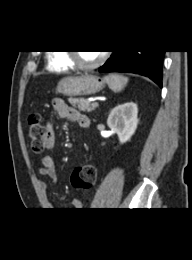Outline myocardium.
<instances>
[{"instance_id": "obj_1", "label": "myocardium", "mask_w": 192, "mask_h": 260, "mask_svg": "<svg viewBox=\"0 0 192 260\" xmlns=\"http://www.w3.org/2000/svg\"><path fill=\"white\" fill-rule=\"evenodd\" d=\"M68 60L70 63L77 69L82 70V71H90L94 70L98 67H100L106 60L107 58V53H103L99 59L91 64H84L80 61L78 57V53L76 51H68L66 53Z\"/></svg>"}]
</instances>
